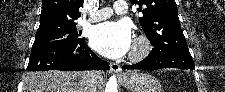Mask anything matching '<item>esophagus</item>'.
<instances>
[{
  "mask_svg": "<svg viewBox=\"0 0 225 92\" xmlns=\"http://www.w3.org/2000/svg\"><path fill=\"white\" fill-rule=\"evenodd\" d=\"M110 73H116L118 75L122 74V70L119 64L111 62L110 63Z\"/></svg>",
  "mask_w": 225,
  "mask_h": 92,
  "instance_id": "1",
  "label": "esophagus"
}]
</instances>
